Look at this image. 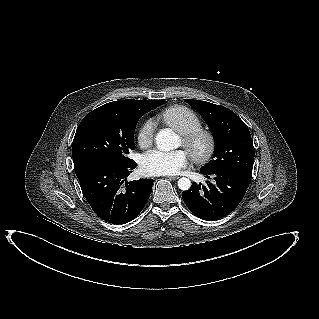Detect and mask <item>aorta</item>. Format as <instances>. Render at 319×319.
Returning a JSON list of instances; mask_svg holds the SVG:
<instances>
[{"label":"aorta","instance_id":"1","mask_svg":"<svg viewBox=\"0 0 319 319\" xmlns=\"http://www.w3.org/2000/svg\"><path fill=\"white\" fill-rule=\"evenodd\" d=\"M156 145L161 151H169L178 146V138L177 135L171 129H162L155 138ZM179 189L185 191L190 189L191 181L182 177L178 180Z\"/></svg>","mask_w":319,"mask_h":319}]
</instances>
